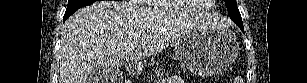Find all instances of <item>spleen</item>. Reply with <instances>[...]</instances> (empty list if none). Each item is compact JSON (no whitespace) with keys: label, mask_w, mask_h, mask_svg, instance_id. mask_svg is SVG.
Listing matches in <instances>:
<instances>
[{"label":"spleen","mask_w":307,"mask_h":83,"mask_svg":"<svg viewBox=\"0 0 307 83\" xmlns=\"http://www.w3.org/2000/svg\"><path fill=\"white\" fill-rule=\"evenodd\" d=\"M235 83H243V80L241 78H236V82Z\"/></svg>","instance_id":"spleen-1"}]
</instances>
